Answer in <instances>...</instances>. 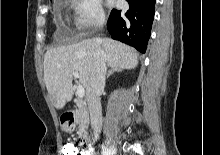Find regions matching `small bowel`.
Returning <instances> with one entry per match:
<instances>
[{
    "label": "small bowel",
    "mask_w": 220,
    "mask_h": 155,
    "mask_svg": "<svg viewBox=\"0 0 220 155\" xmlns=\"http://www.w3.org/2000/svg\"><path fill=\"white\" fill-rule=\"evenodd\" d=\"M77 145H86V140H77Z\"/></svg>",
    "instance_id": "1"
}]
</instances>
